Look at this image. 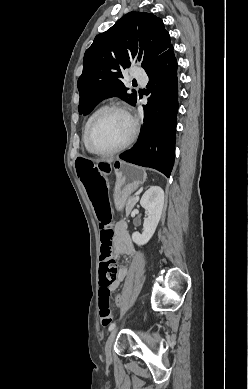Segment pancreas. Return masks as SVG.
<instances>
[{"instance_id": "cf45deb5", "label": "pancreas", "mask_w": 248, "mask_h": 389, "mask_svg": "<svg viewBox=\"0 0 248 389\" xmlns=\"http://www.w3.org/2000/svg\"><path fill=\"white\" fill-rule=\"evenodd\" d=\"M135 203H136V200H135L134 197H129V198H128V201H127V203H126V213H127V214L131 211V209L133 208V206L135 205Z\"/></svg>"}]
</instances>
